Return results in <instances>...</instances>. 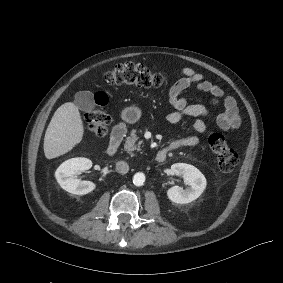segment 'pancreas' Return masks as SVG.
Wrapping results in <instances>:
<instances>
[{"label":"pancreas","instance_id":"1","mask_svg":"<svg viewBox=\"0 0 283 283\" xmlns=\"http://www.w3.org/2000/svg\"><path fill=\"white\" fill-rule=\"evenodd\" d=\"M138 140V137L136 135V130H132L131 134L129 137L126 138V142L124 144V149L131 155L133 156V152L135 150L140 151V145L136 144V141Z\"/></svg>","mask_w":283,"mask_h":283}]
</instances>
